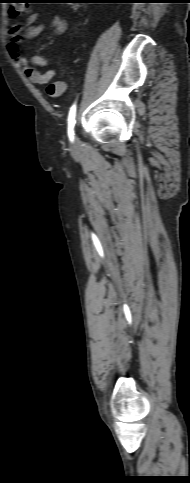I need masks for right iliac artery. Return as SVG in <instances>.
I'll return each instance as SVG.
<instances>
[{
  "label": "right iliac artery",
  "mask_w": 190,
  "mask_h": 483,
  "mask_svg": "<svg viewBox=\"0 0 190 483\" xmlns=\"http://www.w3.org/2000/svg\"><path fill=\"white\" fill-rule=\"evenodd\" d=\"M75 116H76V104H74L68 115V135L71 141L74 139V126H75Z\"/></svg>",
  "instance_id": "right-iliac-artery-1"
}]
</instances>
